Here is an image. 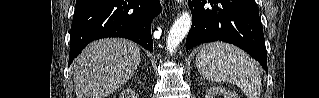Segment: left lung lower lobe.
Masks as SVG:
<instances>
[{
  "mask_svg": "<svg viewBox=\"0 0 319 98\" xmlns=\"http://www.w3.org/2000/svg\"><path fill=\"white\" fill-rule=\"evenodd\" d=\"M193 22L186 50L221 40L258 60L267 72V56L259 11L254 0H189ZM268 73V72H267Z\"/></svg>",
  "mask_w": 319,
  "mask_h": 98,
  "instance_id": "left-lung-lower-lobe-1",
  "label": "left lung lower lobe"
}]
</instances>
